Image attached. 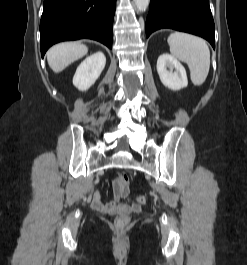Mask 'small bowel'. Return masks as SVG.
I'll return each mask as SVG.
<instances>
[{
    "label": "small bowel",
    "mask_w": 247,
    "mask_h": 265,
    "mask_svg": "<svg viewBox=\"0 0 247 265\" xmlns=\"http://www.w3.org/2000/svg\"><path fill=\"white\" fill-rule=\"evenodd\" d=\"M128 192H123L118 183H114V199L109 203H104L101 200V194L96 191L93 194L91 205L93 209L109 215L127 216L131 213H139L141 207L135 202L127 200Z\"/></svg>",
    "instance_id": "c3829d8e"
}]
</instances>
